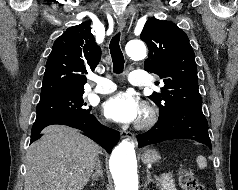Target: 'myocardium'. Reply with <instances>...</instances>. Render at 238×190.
<instances>
[{"mask_svg": "<svg viewBox=\"0 0 238 190\" xmlns=\"http://www.w3.org/2000/svg\"><path fill=\"white\" fill-rule=\"evenodd\" d=\"M156 120H157V113L155 109L151 105L144 103L141 109V114L136 123V127L138 129H147L152 125H154Z\"/></svg>", "mask_w": 238, "mask_h": 190, "instance_id": "f54148a6", "label": "myocardium"}]
</instances>
